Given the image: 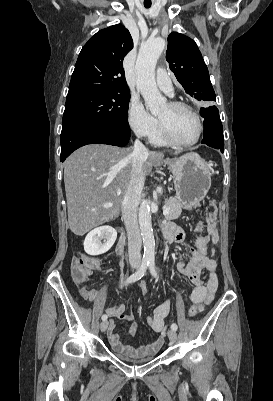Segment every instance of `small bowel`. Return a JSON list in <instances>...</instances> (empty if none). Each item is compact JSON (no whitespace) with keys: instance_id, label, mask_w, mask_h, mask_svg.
<instances>
[{"instance_id":"small-bowel-1","label":"small bowel","mask_w":273,"mask_h":401,"mask_svg":"<svg viewBox=\"0 0 273 401\" xmlns=\"http://www.w3.org/2000/svg\"><path fill=\"white\" fill-rule=\"evenodd\" d=\"M219 218L217 215H209L205 224V233L200 235L196 239L195 247H190L192 258L188 263L179 261L178 269L186 276L188 271H202L206 276L207 281L205 284H194L195 287L188 294V299L192 306L189 311V315L194 316L202 312L205 307L213 300L214 295L218 287V276L216 272L217 261L215 258L208 255V245L217 241V231L215 229ZM203 231V228L200 229ZM165 233L168 237L173 239L181 240L183 236L182 228H166ZM184 244H187L184 239L181 240ZM89 261H97L98 268L100 262L92 257H86ZM76 283L85 282L86 280H75ZM143 284V283H141ZM80 297H83L84 304H95L98 307L103 306V291L102 290H89L87 292H80ZM171 310V301L167 300L163 304L159 305L153 311L151 316L147 317L148 326L156 333H162L165 330L166 320ZM104 316L109 320L107 326L108 339L113 349L122 355H136V356H151L159 348L160 345L164 344V336H159L156 342L148 344L138 350H134L125 345L121 340V335L116 332V326L118 321H131L134 318L132 312H127L126 307L123 304H118L112 307L103 309Z\"/></svg>"}]
</instances>
